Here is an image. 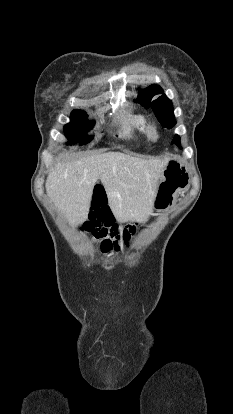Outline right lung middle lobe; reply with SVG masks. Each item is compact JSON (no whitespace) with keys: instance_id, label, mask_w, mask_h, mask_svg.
Returning a JSON list of instances; mask_svg holds the SVG:
<instances>
[{"instance_id":"right-lung-middle-lobe-1","label":"right lung middle lobe","mask_w":233,"mask_h":414,"mask_svg":"<svg viewBox=\"0 0 233 414\" xmlns=\"http://www.w3.org/2000/svg\"><path fill=\"white\" fill-rule=\"evenodd\" d=\"M71 122L64 126L65 136L70 142H79L81 145L91 141L86 133L92 128L93 122L87 120L85 111L74 110L70 117Z\"/></svg>"}]
</instances>
